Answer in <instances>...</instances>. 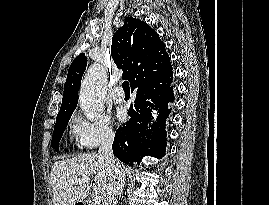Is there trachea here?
Listing matches in <instances>:
<instances>
[{"instance_id": "3493384b", "label": "trachea", "mask_w": 269, "mask_h": 205, "mask_svg": "<svg viewBox=\"0 0 269 205\" xmlns=\"http://www.w3.org/2000/svg\"><path fill=\"white\" fill-rule=\"evenodd\" d=\"M122 87H123L124 92L130 93V87H129V82L128 81H124L122 83Z\"/></svg>"}]
</instances>
